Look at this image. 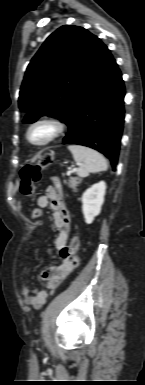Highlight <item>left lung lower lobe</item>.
<instances>
[{
    "label": "left lung lower lobe",
    "instance_id": "0a47b994",
    "mask_svg": "<svg viewBox=\"0 0 145 385\" xmlns=\"http://www.w3.org/2000/svg\"><path fill=\"white\" fill-rule=\"evenodd\" d=\"M125 87L110 50L99 39L66 122V144L91 147L108 157L113 168L118 161L124 123Z\"/></svg>",
    "mask_w": 145,
    "mask_h": 385
}]
</instances>
